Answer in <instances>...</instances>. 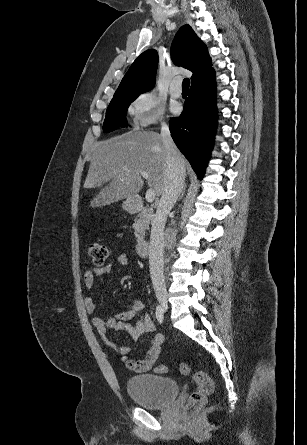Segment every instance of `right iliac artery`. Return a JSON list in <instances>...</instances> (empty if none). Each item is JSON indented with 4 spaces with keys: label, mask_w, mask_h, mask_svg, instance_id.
I'll list each match as a JSON object with an SVG mask.
<instances>
[{
    "label": "right iliac artery",
    "mask_w": 307,
    "mask_h": 445,
    "mask_svg": "<svg viewBox=\"0 0 307 445\" xmlns=\"http://www.w3.org/2000/svg\"><path fill=\"white\" fill-rule=\"evenodd\" d=\"M155 313H156V318L159 321V323H162L163 322V318H164V311H163V308L160 305H158L156 307V312Z\"/></svg>",
    "instance_id": "1"
}]
</instances>
